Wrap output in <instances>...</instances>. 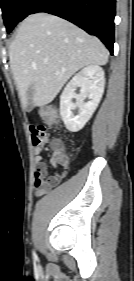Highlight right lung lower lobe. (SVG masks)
I'll list each match as a JSON object with an SVG mask.
<instances>
[{
	"label": "right lung lower lobe",
	"instance_id": "right-lung-lower-lobe-1",
	"mask_svg": "<svg viewBox=\"0 0 134 281\" xmlns=\"http://www.w3.org/2000/svg\"><path fill=\"white\" fill-rule=\"evenodd\" d=\"M46 12L64 18L93 34L113 54L115 0H33L25 17Z\"/></svg>",
	"mask_w": 134,
	"mask_h": 281
}]
</instances>
